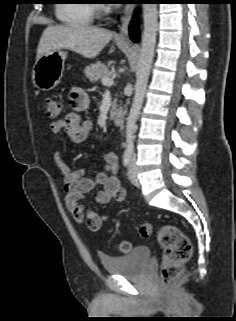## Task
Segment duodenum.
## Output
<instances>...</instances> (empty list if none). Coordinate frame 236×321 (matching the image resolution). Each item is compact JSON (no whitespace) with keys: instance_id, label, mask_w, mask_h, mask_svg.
Instances as JSON below:
<instances>
[{"instance_id":"1","label":"duodenum","mask_w":236,"mask_h":321,"mask_svg":"<svg viewBox=\"0 0 236 321\" xmlns=\"http://www.w3.org/2000/svg\"><path fill=\"white\" fill-rule=\"evenodd\" d=\"M111 120L116 125H122L124 123V114L120 111H116L111 115Z\"/></svg>"}]
</instances>
